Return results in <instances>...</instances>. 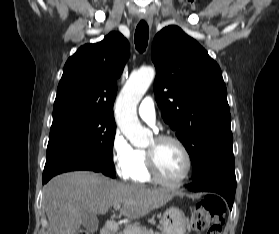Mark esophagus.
Segmentation results:
<instances>
[{
    "label": "esophagus",
    "mask_w": 279,
    "mask_h": 234,
    "mask_svg": "<svg viewBox=\"0 0 279 234\" xmlns=\"http://www.w3.org/2000/svg\"><path fill=\"white\" fill-rule=\"evenodd\" d=\"M141 18L145 20L149 26L153 23V16L150 13H142Z\"/></svg>",
    "instance_id": "34e87169"
}]
</instances>
